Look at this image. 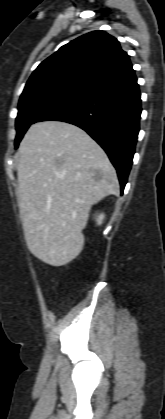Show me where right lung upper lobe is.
I'll use <instances>...</instances> for the list:
<instances>
[{"label": "right lung upper lobe", "instance_id": "cb5924a9", "mask_svg": "<svg viewBox=\"0 0 165 419\" xmlns=\"http://www.w3.org/2000/svg\"><path fill=\"white\" fill-rule=\"evenodd\" d=\"M133 70L119 41L104 31H93L62 46L41 62L22 94L53 87L92 92Z\"/></svg>", "mask_w": 165, "mask_h": 419}]
</instances>
